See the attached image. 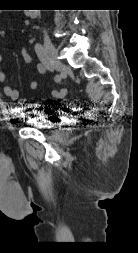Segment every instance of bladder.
<instances>
[{
    "instance_id": "1",
    "label": "bladder",
    "mask_w": 138,
    "mask_h": 253,
    "mask_svg": "<svg viewBox=\"0 0 138 253\" xmlns=\"http://www.w3.org/2000/svg\"><path fill=\"white\" fill-rule=\"evenodd\" d=\"M47 113L44 111L29 110L23 112V119L25 123L36 129L48 130L54 128V124L47 118Z\"/></svg>"
}]
</instances>
